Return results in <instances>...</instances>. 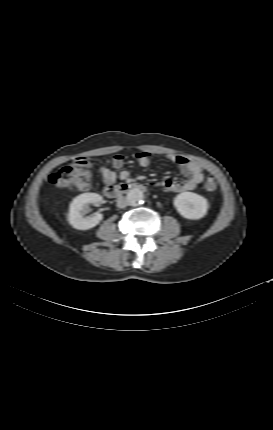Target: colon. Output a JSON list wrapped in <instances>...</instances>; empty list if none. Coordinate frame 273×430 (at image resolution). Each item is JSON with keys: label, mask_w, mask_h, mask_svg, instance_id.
<instances>
[{"label": "colon", "mask_w": 273, "mask_h": 430, "mask_svg": "<svg viewBox=\"0 0 273 430\" xmlns=\"http://www.w3.org/2000/svg\"><path fill=\"white\" fill-rule=\"evenodd\" d=\"M82 160H88L85 157L78 158L73 164L59 168L49 177L52 186L59 189H77L86 190L90 184L91 174L88 169V163H82ZM208 192L217 189V183L213 177H208L204 184Z\"/></svg>", "instance_id": "obj_1"}]
</instances>
